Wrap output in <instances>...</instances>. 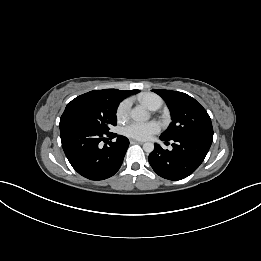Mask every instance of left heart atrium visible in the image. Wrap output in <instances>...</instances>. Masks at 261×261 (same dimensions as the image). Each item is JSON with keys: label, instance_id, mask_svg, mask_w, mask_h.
I'll list each match as a JSON object with an SVG mask.
<instances>
[{"label": "left heart atrium", "instance_id": "left-heart-atrium-1", "mask_svg": "<svg viewBox=\"0 0 261 261\" xmlns=\"http://www.w3.org/2000/svg\"><path fill=\"white\" fill-rule=\"evenodd\" d=\"M160 125L155 122H132L124 128V134L130 138L145 140L158 132Z\"/></svg>", "mask_w": 261, "mask_h": 261}]
</instances>
